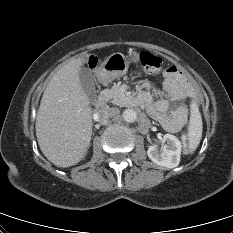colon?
I'll use <instances>...</instances> for the list:
<instances>
[{
    "label": "colon",
    "mask_w": 233,
    "mask_h": 233,
    "mask_svg": "<svg viewBox=\"0 0 233 233\" xmlns=\"http://www.w3.org/2000/svg\"><path fill=\"white\" fill-rule=\"evenodd\" d=\"M139 58H140V62H141L143 69L148 74H153V75L158 74L163 69L162 59L150 52H147V51L141 52L139 55ZM182 141L186 145V141H187L186 136L182 137Z\"/></svg>",
    "instance_id": "1"
}]
</instances>
